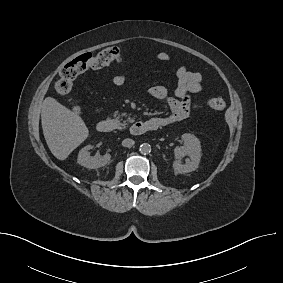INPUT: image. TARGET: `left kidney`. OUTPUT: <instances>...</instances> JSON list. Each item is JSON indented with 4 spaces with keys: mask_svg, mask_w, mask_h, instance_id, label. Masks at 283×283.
Returning <instances> with one entry per match:
<instances>
[{
    "mask_svg": "<svg viewBox=\"0 0 283 283\" xmlns=\"http://www.w3.org/2000/svg\"><path fill=\"white\" fill-rule=\"evenodd\" d=\"M183 146L176 147L174 150L176 161L173 163L175 174H186L195 171L199 167L201 158V145L199 139L189 133L182 135ZM189 155L190 159H186L185 164H181L179 159Z\"/></svg>",
    "mask_w": 283,
    "mask_h": 283,
    "instance_id": "5707ae66",
    "label": "left kidney"
}]
</instances>
